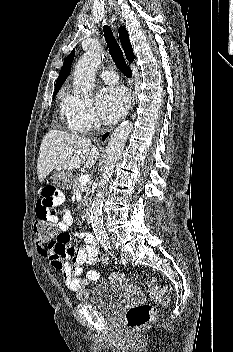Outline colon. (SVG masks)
<instances>
[{"label": "colon", "mask_w": 233, "mask_h": 352, "mask_svg": "<svg viewBox=\"0 0 233 352\" xmlns=\"http://www.w3.org/2000/svg\"><path fill=\"white\" fill-rule=\"evenodd\" d=\"M34 233L38 239L49 241L58 235V230L54 224L47 219H37L33 226ZM103 264L107 263V259H102ZM148 294L155 304H161L164 307L169 306L170 299L165 296L166 287L159 284L156 280L146 282ZM76 297L84 300L89 296V293L84 287H79L75 290ZM157 315L155 306L149 303L135 305L129 308L126 312V322L129 328L138 329L155 319Z\"/></svg>", "instance_id": "obj_1"}]
</instances>
